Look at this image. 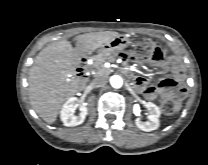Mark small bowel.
<instances>
[{
  "instance_id": "small-bowel-1",
  "label": "small bowel",
  "mask_w": 208,
  "mask_h": 165,
  "mask_svg": "<svg viewBox=\"0 0 208 165\" xmlns=\"http://www.w3.org/2000/svg\"><path fill=\"white\" fill-rule=\"evenodd\" d=\"M181 63L175 57H164L154 71V86H148L146 79L135 77V84L141 88L147 98L154 100L159 97H169L184 90L181 79Z\"/></svg>"
}]
</instances>
